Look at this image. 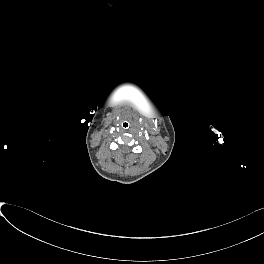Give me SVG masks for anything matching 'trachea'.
<instances>
[{
  "label": "trachea",
  "mask_w": 264,
  "mask_h": 264,
  "mask_svg": "<svg viewBox=\"0 0 264 264\" xmlns=\"http://www.w3.org/2000/svg\"><path fill=\"white\" fill-rule=\"evenodd\" d=\"M129 126H130V124H129L128 122H124V123L122 124V127H123L124 129H128Z\"/></svg>",
  "instance_id": "3493384b"
}]
</instances>
